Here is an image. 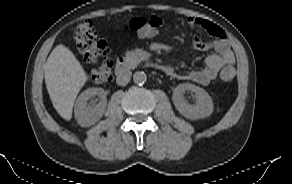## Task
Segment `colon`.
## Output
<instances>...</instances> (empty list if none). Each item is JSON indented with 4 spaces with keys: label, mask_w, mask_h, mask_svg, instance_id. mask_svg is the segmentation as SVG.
Instances as JSON below:
<instances>
[{
    "label": "colon",
    "mask_w": 292,
    "mask_h": 184,
    "mask_svg": "<svg viewBox=\"0 0 292 184\" xmlns=\"http://www.w3.org/2000/svg\"><path fill=\"white\" fill-rule=\"evenodd\" d=\"M161 23L155 17L134 18L129 23V28L138 32L145 39H154L160 33ZM74 40L78 51L89 63L96 64L90 70L88 78L94 83H107L113 78V61L108 56V46L105 41L97 36L90 21L79 23L74 30ZM236 75L235 67L226 65L220 72L223 82H230Z\"/></svg>",
    "instance_id": "colon-1"
}]
</instances>
